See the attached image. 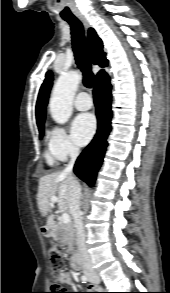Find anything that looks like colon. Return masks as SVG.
<instances>
[{"label": "colon", "mask_w": 170, "mask_h": 293, "mask_svg": "<svg viewBox=\"0 0 170 293\" xmlns=\"http://www.w3.org/2000/svg\"><path fill=\"white\" fill-rule=\"evenodd\" d=\"M49 262L54 271L53 284L54 292L51 293H64L62 285L67 282V277L64 273L65 261L59 251H52L49 254Z\"/></svg>", "instance_id": "5ec220e1"}]
</instances>
